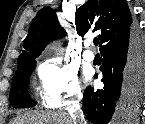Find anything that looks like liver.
Masks as SVG:
<instances>
[{
    "instance_id": "liver-1",
    "label": "liver",
    "mask_w": 145,
    "mask_h": 124,
    "mask_svg": "<svg viewBox=\"0 0 145 124\" xmlns=\"http://www.w3.org/2000/svg\"><path fill=\"white\" fill-rule=\"evenodd\" d=\"M11 124H73L66 113L29 112L14 119Z\"/></svg>"
}]
</instances>
